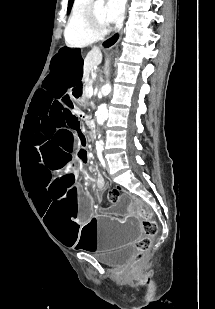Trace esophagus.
<instances>
[{"mask_svg": "<svg viewBox=\"0 0 215 309\" xmlns=\"http://www.w3.org/2000/svg\"><path fill=\"white\" fill-rule=\"evenodd\" d=\"M123 33L122 25L115 31L111 37L104 40L102 42L101 47L105 50H109L110 48L114 47L121 39Z\"/></svg>", "mask_w": 215, "mask_h": 309, "instance_id": "34e87169", "label": "esophagus"}]
</instances>
